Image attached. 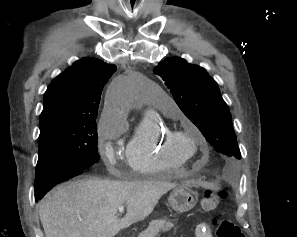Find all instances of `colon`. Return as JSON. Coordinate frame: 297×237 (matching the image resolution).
I'll list each match as a JSON object with an SVG mask.
<instances>
[{"label": "colon", "mask_w": 297, "mask_h": 237, "mask_svg": "<svg viewBox=\"0 0 297 237\" xmlns=\"http://www.w3.org/2000/svg\"><path fill=\"white\" fill-rule=\"evenodd\" d=\"M227 197V191L220 189L216 193L206 191L201 199V206L205 211H212L216 208L220 199ZM213 225L216 229L217 237H245L239 226L231 220H214Z\"/></svg>", "instance_id": "colon-1"}]
</instances>
